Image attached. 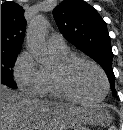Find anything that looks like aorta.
<instances>
[{
	"label": "aorta",
	"mask_w": 123,
	"mask_h": 130,
	"mask_svg": "<svg viewBox=\"0 0 123 130\" xmlns=\"http://www.w3.org/2000/svg\"><path fill=\"white\" fill-rule=\"evenodd\" d=\"M48 29V22L43 15H38L31 22L26 33V44L28 49L35 56L36 60L44 66L52 64V57L46 46L45 36Z\"/></svg>",
	"instance_id": "obj_1"
}]
</instances>
